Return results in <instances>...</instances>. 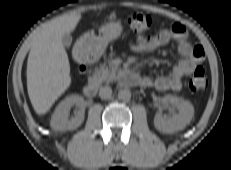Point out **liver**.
I'll list each match as a JSON object with an SVG mask.
<instances>
[{
  "label": "liver",
  "mask_w": 231,
  "mask_h": 170,
  "mask_svg": "<svg viewBox=\"0 0 231 170\" xmlns=\"http://www.w3.org/2000/svg\"><path fill=\"white\" fill-rule=\"evenodd\" d=\"M81 14L51 20L32 41L27 62V90L35 112L43 115L70 87V64L62 37L75 30Z\"/></svg>",
  "instance_id": "liver-1"
}]
</instances>
